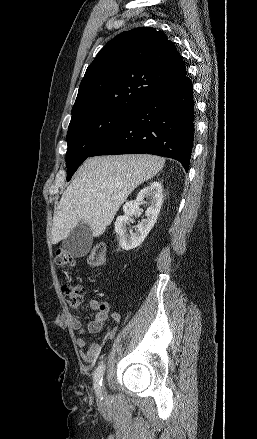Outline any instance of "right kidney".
Wrapping results in <instances>:
<instances>
[{"label":"right kidney","mask_w":257,"mask_h":439,"mask_svg":"<svg viewBox=\"0 0 257 439\" xmlns=\"http://www.w3.org/2000/svg\"><path fill=\"white\" fill-rule=\"evenodd\" d=\"M162 191L161 183L154 181L140 190L135 200L129 201L123 206L124 215L118 216L115 221V232L119 236V245L122 249L128 251L136 248L151 231L162 206ZM144 199H146V203L149 205L145 211L147 218L139 222L134 233L130 230L128 234L126 224L133 214L140 211L139 206L144 202Z\"/></svg>","instance_id":"right-kidney-1"}]
</instances>
